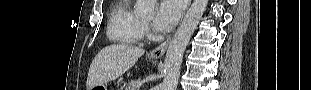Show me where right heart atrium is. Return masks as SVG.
<instances>
[{
    "label": "right heart atrium",
    "mask_w": 311,
    "mask_h": 90,
    "mask_svg": "<svg viewBox=\"0 0 311 90\" xmlns=\"http://www.w3.org/2000/svg\"><path fill=\"white\" fill-rule=\"evenodd\" d=\"M148 31V25L145 22H142V32L146 33Z\"/></svg>",
    "instance_id": "right-heart-atrium-1"
}]
</instances>
